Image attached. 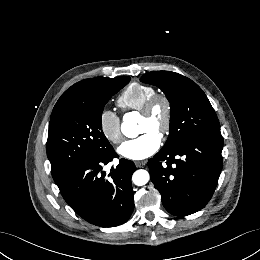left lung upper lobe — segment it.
Instances as JSON below:
<instances>
[{"label": "left lung upper lobe", "mask_w": 260, "mask_h": 260, "mask_svg": "<svg viewBox=\"0 0 260 260\" xmlns=\"http://www.w3.org/2000/svg\"><path fill=\"white\" fill-rule=\"evenodd\" d=\"M140 80L159 87L170 102V130L164 148L175 147L195 136L220 133L214 109L191 79L170 71H153Z\"/></svg>", "instance_id": "obj_1"}]
</instances>
